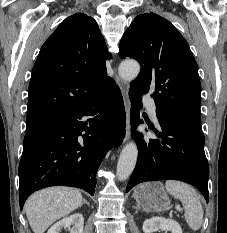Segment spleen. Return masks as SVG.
<instances>
[{
    "instance_id": "3e777b00",
    "label": "spleen",
    "mask_w": 227,
    "mask_h": 233,
    "mask_svg": "<svg viewBox=\"0 0 227 233\" xmlns=\"http://www.w3.org/2000/svg\"><path fill=\"white\" fill-rule=\"evenodd\" d=\"M165 188L182 202L188 226L193 231L199 230L203 222V208L196 191L190 185L176 180H167Z\"/></svg>"
}]
</instances>
